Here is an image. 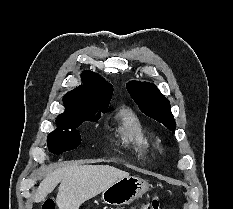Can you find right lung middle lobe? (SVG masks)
Segmentation results:
<instances>
[{
    "label": "right lung middle lobe",
    "mask_w": 233,
    "mask_h": 209,
    "mask_svg": "<svg viewBox=\"0 0 233 209\" xmlns=\"http://www.w3.org/2000/svg\"><path fill=\"white\" fill-rule=\"evenodd\" d=\"M103 113L106 112L102 111ZM100 115L94 117V112H70L59 115L56 119L55 129L48 135L47 144L50 152L60 154L75 149L81 142L80 133L76 130L86 120L97 121Z\"/></svg>",
    "instance_id": "right-lung-middle-lobe-1"
}]
</instances>
